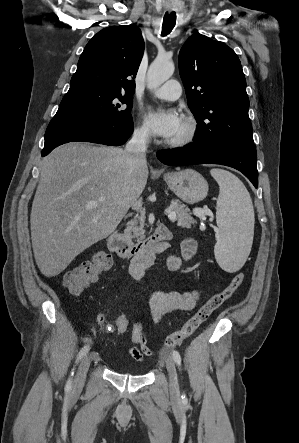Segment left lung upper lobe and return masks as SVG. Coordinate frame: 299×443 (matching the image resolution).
Segmentation results:
<instances>
[{
	"instance_id": "5c2ea615",
	"label": "left lung upper lobe",
	"mask_w": 299,
	"mask_h": 443,
	"mask_svg": "<svg viewBox=\"0 0 299 443\" xmlns=\"http://www.w3.org/2000/svg\"><path fill=\"white\" fill-rule=\"evenodd\" d=\"M179 72L197 121L195 143L254 144L246 80L231 48L194 34L180 50Z\"/></svg>"
}]
</instances>
